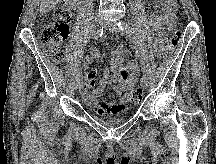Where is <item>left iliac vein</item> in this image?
<instances>
[{
    "mask_svg": "<svg viewBox=\"0 0 216 164\" xmlns=\"http://www.w3.org/2000/svg\"><path fill=\"white\" fill-rule=\"evenodd\" d=\"M104 27L107 28L108 30H110L113 33H121L120 29L117 27V25L111 21H106L104 23ZM141 85L143 88H147L148 87V78L147 76L144 74L141 78Z\"/></svg>",
    "mask_w": 216,
    "mask_h": 164,
    "instance_id": "obj_1",
    "label": "left iliac vein"
}]
</instances>
